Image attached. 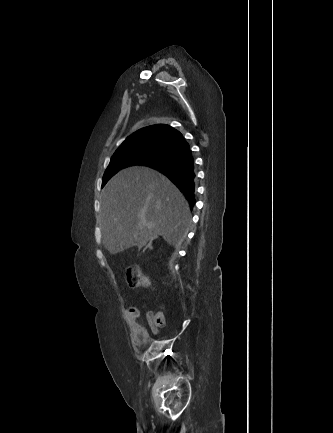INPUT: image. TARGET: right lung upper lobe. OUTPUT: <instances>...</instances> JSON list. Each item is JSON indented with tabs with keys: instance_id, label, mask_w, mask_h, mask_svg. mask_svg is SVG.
<instances>
[{
	"instance_id": "obj_1",
	"label": "right lung upper lobe",
	"mask_w": 333,
	"mask_h": 433,
	"mask_svg": "<svg viewBox=\"0 0 333 433\" xmlns=\"http://www.w3.org/2000/svg\"><path fill=\"white\" fill-rule=\"evenodd\" d=\"M180 138L184 140L182 134L176 129L169 125L157 124L142 128L133 133L121 144L120 147L151 143L152 145H159L167 149H172V146L175 145L174 142Z\"/></svg>"
}]
</instances>
